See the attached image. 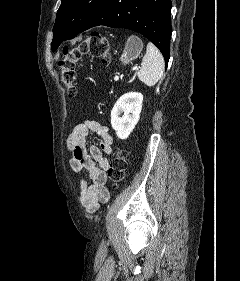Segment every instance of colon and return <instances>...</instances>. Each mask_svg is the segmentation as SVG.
<instances>
[{
    "label": "colon",
    "instance_id": "obj_1",
    "mask_svg": "<svg viewBox=\"0 0 240 281\" xmlns=\"http://www.w3.org/2000/svg\"><path fill=\"white\" fill-rule=\"evenodd\" d=\"M85 55L100 58L104 63L110 60V44L106 37L94 32L88 38L77 45L67 48L63 58L59 61L61 79L66 85L69 95L72 97L75 92L74 82L76 79V66L78 61ZM127 169V153L119 149L108 169L109 180L113 185L122 182Z\"/></svg>",
    "mask_w": 240,
    "mask_h": 281
}]
</instances>
